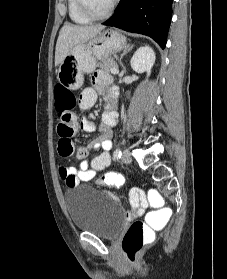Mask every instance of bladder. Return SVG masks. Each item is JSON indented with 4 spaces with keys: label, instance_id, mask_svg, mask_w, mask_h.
I'll use <instances>...</instances> for the list:
<instances>
[{
    "label": "bladder",
    "instance_id": "1",
    "mask_svg": "<svg viewBox=\"0 0 227 279\" xmlns=\"http://www.w3.org/2000/svg\"><path fill=\"white\" fill-rule=\"evenodd\" d=\"M64 201L77 230L92 232L105 238H115L124 226L120 204L93 187L70 189Z\"/></svg>",
    "mask_w": 227,
    "mask_h": 279
}]
</instances>
